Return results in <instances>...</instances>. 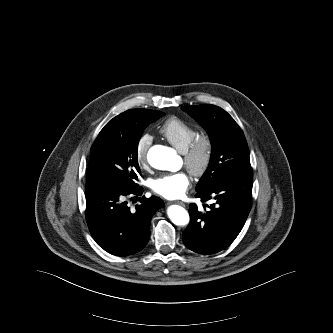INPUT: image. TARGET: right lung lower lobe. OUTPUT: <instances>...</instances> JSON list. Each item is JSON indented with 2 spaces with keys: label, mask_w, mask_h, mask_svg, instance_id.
<instances>
[{
  "label": "right lung lower lobe",
  "mask_w": 333,
  "mask_h": 333,
  "mask_svg": "<svg viewBox=\"0 0 333 333\" xmlns=\"http://www.w3.org/2000/svg\"><path fill=\"white\" fill-rule=\"evenodd\" d=\"M143 188L86 185V221L95 241L108 253L127 256L142 250L150 236V221L164 207L162 199L142 197L132 210L125 197L141 196Z\"/></svg>",
  "instance_id": "obj_1"
}]
</instances>
